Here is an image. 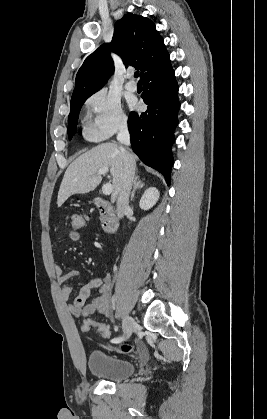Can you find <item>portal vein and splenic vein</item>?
<instances>
[{
  "instance_id": "portal-vein-and-splenic-vein-1",
  "label": "portal vein and splenic vein",
  "mask_w": 267,
  "mask_h": 419,
  "mask_svg": "<svg viewBox=\"0 0 267 419\" xmlns=\"http://www.w3.org/2000/svg\"><path fill=\"white\" fill-rule=\"evenodd\" d=\"M108 172V168L104 167L98 170L97 175L101 176V175H105ZM96 176V175H94ZM113 190V186L110 183H106L103 185L102 187V192L104 195H110L111 192Z\"/></svg>"
}]
</instances>
